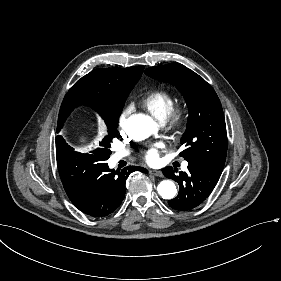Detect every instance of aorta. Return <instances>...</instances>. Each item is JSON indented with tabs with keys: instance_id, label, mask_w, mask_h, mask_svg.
Wrapping results in <instances>:
<instances>
[{
	"instance_id": "762f6f07",
	"label": "aorta",
	"mask_w": 281,
	"mask_h": 281,
	"mask_svg": "<svg viewBox=\"0 0 281 281\" xmlns=\"http://www.w3.org/2000/svg\"><path fill=\"white\" fill-rule=\"evenodd\" d=\"M126 129L135 140L141 141L153 134L157 130V125L150 116L135 114L129 117ZM157 191L163 199H173L177 193L174 182L170 180L161 181Z\"/></svg>"
}]
</instances>
